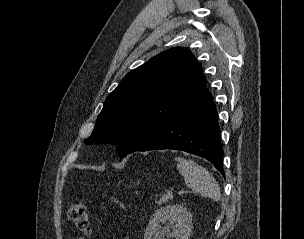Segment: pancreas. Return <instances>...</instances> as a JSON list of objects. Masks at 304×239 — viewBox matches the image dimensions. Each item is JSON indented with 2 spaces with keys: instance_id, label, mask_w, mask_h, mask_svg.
I'll return each mask as SVG.
<instances>
[{
  "instance_id": "pancreas-1",
  "label": "pancreas",
  "mask_w": 304,
  "mask_h": 239,
  "mask_svg": "<svg viewBox=\"0 0 304 239\" xmlns=\"http://www.w3.org/2000/svg\"><path fill=\"white\" fill-rule=\"evenodd\" d=\"M169 200H171V197L168 196V195H164L163 197H161V198L159 199V201L156 200L155 203L163 204V203L168 202Z\"/></svg>"
}]
</instances>
